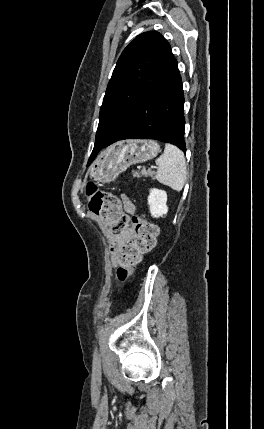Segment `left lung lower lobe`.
Instances as JSON below:
<instances>
[{"label":"left lung lower lobe","instance_id":"left-lung-lower-lobe-1","mask_svg":"<svg viewBox=\"0 0 264 429\" xmlns=\"http://www.w3.org/2000/svg\"><path fill=\"white\" fill-rule=\"evenodd\" d=\"M184 96L178 64L171 50L165 67L136 110L133 121L119 139H155L186 151ZM92 154L89 163L95 158Z\"/></svg>","mask_w":264,"mask_h":429}]
</instances>
